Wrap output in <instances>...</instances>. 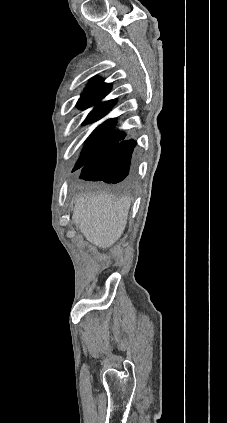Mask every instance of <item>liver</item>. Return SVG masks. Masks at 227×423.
Instances as JSON below:
<instances>
[{
	"label": "liver",
	"mask_w": 227,
	"mask_h": 423,
	"mask_svg": "<svg viewBox=\"0 0 227 423\" xmlns=\"http://www.w3.org/2000/svg\"><path fill=\"white\" fill-rule=\"evenodd\" d=\"M130 200H115L112 194L76 196L72 221L85 239L97 247H111L121 237L126 225Z\"/></svg>",
	"instance_id": "1"
}]
</instances>
